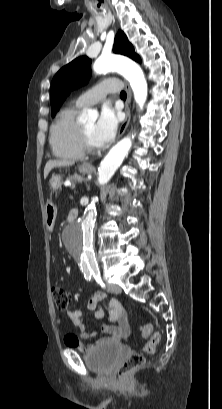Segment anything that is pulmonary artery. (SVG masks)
<instances>
[{
  "label": "pulmonary artery",
  "mask_w": 222,
  "mask_h": 409,
  "mask_svg": "<svg viewBox=\"0 0 222 409\" xmlns=\"http://www.w3.org/2000/svg\"><path fill=\"white\" fill-rule=\"evenodd\" d=\"M121 87L120 83L103 80L94 87L81 94L76 103L81 107H90L103 100L109 93H117Z\"/></svg>",
  "instance_id": "1"
}]
</instances>
